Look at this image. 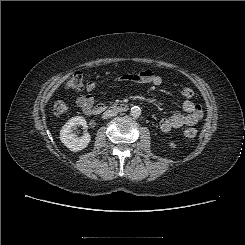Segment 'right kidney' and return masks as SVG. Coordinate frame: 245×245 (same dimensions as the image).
Wrapping results in <instances>:
<instances>
[{
	"label": "right kidney",
	"instance_id": "1",
	"mask_svg": "<svg viewBox=\"0 0 245 245\" xmlns=\"http://www.w3.org/2000/svg\"><path fill=\"white\" fill-rule=\"evenodd\" d=\"M79 125L83 126L84 129H87L85 118L82 116H75L69 119L60 131L61 142L73 152L83 150L91 141V136L87 132H85L82 137H78L73 133V129Z\"/></svg>",
	"mask_w": 245,
	"mask_h": 245
}]
</instances>
